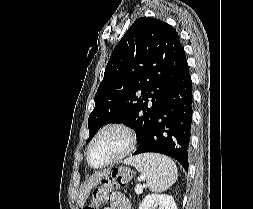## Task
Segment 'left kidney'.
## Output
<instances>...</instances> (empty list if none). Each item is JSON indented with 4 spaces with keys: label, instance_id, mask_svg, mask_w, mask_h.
I'll return each instance as SVG.
<instances>
[{
    "label": "left kidney",
    "instance_id": "obj_1",
    "mask_svg": "<svg viewBox=\"0 0 253 209\" xmlns=\"http://www.w3.org/2000/svg\"><path fill=\"white\" fill-rule=\"evenodd\" d=\"M139 209H177V206L170 195L150 194L141 202Z\"/></svg>",
    "mask_w": 253,
    "mask_h": 209
}]
</instances>
